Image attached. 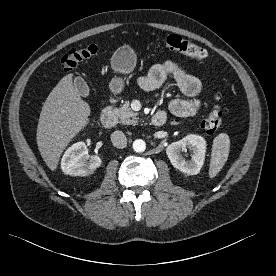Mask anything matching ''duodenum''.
I'll list each match as a JSON object with an SVG mask.
<instances>
[{
    "mask_svg": "<svg viewBox=\"0 0 276 276\" xmlns=\"http://www.w3.org/2000/svg\"><path fill=\"white\" fill-rule=\"evenodd\" d=\"M101 123L107 128H112L117 124V116L112 106L106 107L101 114ZM166 122V115L163 112H157L150 118V124L153 127H161Z\"/></svg>",
    "mask_w": 276,
    "mask_h": 276,
    "instance_id": "410a0bca",
    "label": "duodenum"
}]
</instances>
